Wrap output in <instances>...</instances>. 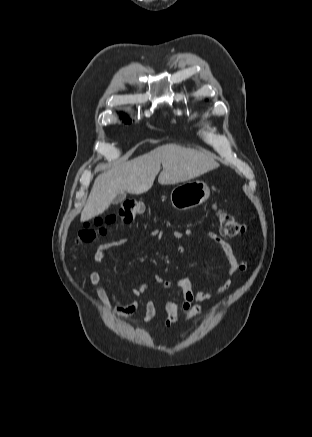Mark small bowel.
Segmentation results:
<instances>
[{"label":"small bowel","mask_w":312,"mask_h":437,"mask_svg":"<svg viewBox=\"0 0 312 437\" xmlns=\"http://www.w3.org/2000/svg\"><path fill=\"white\" fill-rule=\"evenodd\" d=\"M196 231L193 229L186 230V235H193ZM183 232L175 230L173 236L176 239H182L185 235ZM153 237L161 238L162 231L155 229L151 232ZM206 236L216 243L226 260L227 268L224 278L221 283L214 289L195 292L192 284L187 278H178L175 280L163 279L160 276L155 277V282L160 284L164 290L178 288L182 291L181 302L169 300L165 303L166 319L164 322L165 328L171 327L178 320L179 311L182 310L186 319H191L203 313L202 302H211L216 297L222 295L230 286L231 278L237 271H244L246 264L241 262L235 256L231 246L219 238L213 232H207ZM127 240H119L113 242L102 243L97 246L94 252V263L100 264L103 262L112 247L127 244ZM89 280L95 287L97 297L112 311L122 316L133 315L138 310V303L135 301H124L115 291L108 292L102 284L101 276L97 270H92L89 273ZM149 289L148 284H141L138 288H134L132 293L139 296ZM156 316V305L154 300L150 299L146 302L145 313L140 321V324L151 322Z\"/></svg>","instance_id":"c3829d8e"}]
</instances>
